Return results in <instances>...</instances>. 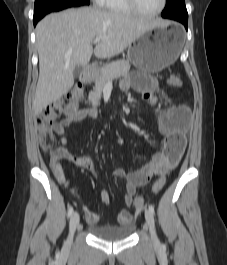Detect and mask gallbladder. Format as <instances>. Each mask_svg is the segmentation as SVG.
<instances>
[{
    "label": "gallbladder",
    "mask_w": 227,
    "mask_h": 265,
    "mask_svg": "<svg viewBox=\"0 0 227 265\" xmlns=\"http://www.w3.org/2000/svg\"><path fill=\"white\" fill-rule=\"evenodd\" d=\"M83 67L82 66H76L74 69V77H79L82 73Z\"/></svg>",
    "instance_id": "obj_1"
}]
</instances>
